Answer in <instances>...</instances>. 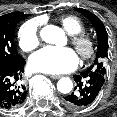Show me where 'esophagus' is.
<instances>
[{
  "mask_svg": "<svg viewBox=\"0 0 117 117\" xmlns=\"http://www.w3.org/2000/svg\"><path fill=\"white\" fill-rule=\"evenodd\" d=\"M52 79H59L61 78V75H50Z\"/></svg>",
  "mask_w": 117,
  "mask_h": 117,
  "instance_id": "1",
  "label": "esophagus"
}]
</instances>
